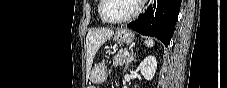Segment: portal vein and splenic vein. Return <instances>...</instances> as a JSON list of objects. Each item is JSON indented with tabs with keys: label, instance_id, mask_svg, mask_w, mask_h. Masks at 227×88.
I'll return each mask as SVG.
<instances>
[{
	"label": "portal vein and splenic vein",
	"instance_id": "obj_1",
	"mask_svg": "<svg viewBox=\"0 0 227 88\" xmlns=\"http://www.w3.org/2000/svg\"><path fill=\"white\" fill-rule=\"evenodd\" d=\"M128 55H129V52H128V51H125V52H124V56L127 57Z\"/></svg>",
	"mask_w": 227,
	"mask_h": 88
}]
</instances>
